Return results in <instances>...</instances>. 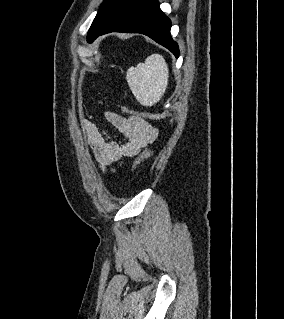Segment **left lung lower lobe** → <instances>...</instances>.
Listing matches in <instances>:
<instances>
[{
	"instance_id": "obj_1",
	"label": "left lung lower lobe",
	"mask_w": 284,
	"mask_h": 319,
	"mask_svg": "<svg viewBox=\"0 0 284 319\" xmlns=\"http://www.w3.org/2000/svg\"><path fill=\"white\" fill-rule=\"evenodd\" d=\"M170 28L171 21L160 10L157 0H124L95 39L110 32L142 33L169 49L178 58L179 48L171 38Z\"/></svg>"
}]
</instances>
